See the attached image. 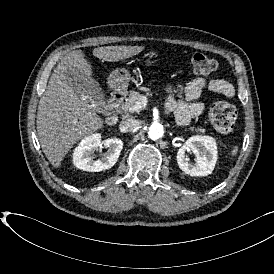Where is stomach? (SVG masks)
<instances>
[{
    "mask_svg": "<svg viewBox=\"0 0 274 274\" xmlns=\"http://www.w3.org/2000/svg\"><path fill=\"white\" fill-rule=\"evenodd\" d=\"M155 63L154 60H152V57L149 56L145 59V65L151 66ZM129 83V75L127 73H122L118 69L111 72V74L108 77V86L118 93H123L126 91Z\"/></svg>",
    "mask_w": 274,
    "mask_h": 274,
    "instance_id": "obj_1",
    "label": "stomach"
}]
</instances>
